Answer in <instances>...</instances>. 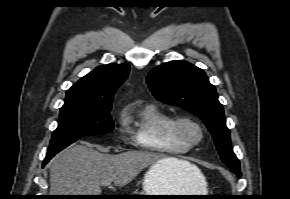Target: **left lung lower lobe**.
<instances>
[{
    "instance_id": "left-lung-lower-lobe-1",
    "label": "left lung lower lobe",
    "mask_w": 290,
    "mask_h": 199,
    "mask_svg": "<svg viewBox=\"0 0 290 199\" xmlns=\"http://www.w3.org/2000/svg\"><path fill=\"white\" fill-rule=\"evenodd\" d=\"M230 170H231L233 173H235L238 177H241L240 169L230 168Z\"/></svg>"
}]
</instances>
